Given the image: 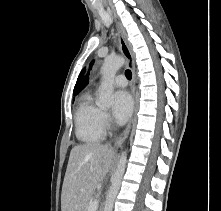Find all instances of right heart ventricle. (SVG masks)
Segmentation results:
<instances>
[{
  "mask_svg": "<svg viewBox=\"0 0 221 211\" xmlns=\"http://www.w3.org/2000/svg\"><path fill=\"white\" fill-rule=\"evenodd\" d=\"M100 113L91 93H83L75 111V133L81 142L93 144L102 140L104 131L100 125Z\"/></svg>",
  "mask_w": 221,
  "mask_h": 211,
  "instance_id": "obj_1",
  "label": "right heart ventricle"
}]
</instances>
